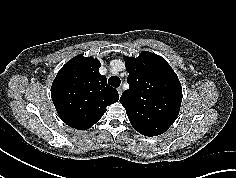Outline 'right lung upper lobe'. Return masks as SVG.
Masks as SVG:
<instances>
[{
  "label": "right lung upper lobe",
  "mask_w": 236,
  "mask_h": 178,
  "mask_svg": "<svg viewBox=\"0 0 236 178\" xmlns=\"http://www.w3.org/2000/svg\"><path fill=\"white\" fill-rule=\"evenodd\" d=\"M100 66L98 59L79 55L68 61L53 81L51 96L57 113L72 128L92 127L106 107L119 99L117 90L99 74Z\"/></svg>",
  "instance_id": "obj_1"
}]
</instances>
